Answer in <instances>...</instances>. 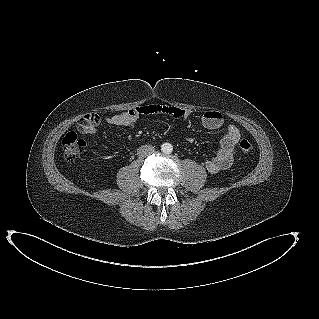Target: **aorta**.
Instances as JSON below:
<instances>
[{
    "mask_svg": "<svg viewBox=\"0 0 319 319\" xmlns=\"http://www.w3.org/2000/svg\"><path fill=\"white\" fill-rule=\"evenodd\" d=\"M161 151L165 154H170L173 151V146L170 143H164L161 145Z\"/></svg>",
    "mask_w": 319,
    "mask_h": 319,
    "instance_id": "762f6f07",
    "label": "aorta"
}]
</instances>
